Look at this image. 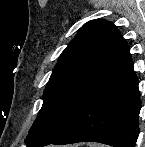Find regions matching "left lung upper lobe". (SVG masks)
I'll return each mask as SVG.
<instances>
[{"label":"left lung upper lobe","instance_id":"left-lung-upper-lobe-1","mask_svg":"<svg viewBox=\"0 0 145 147\" xmlns=\"http://www.w3.org/2000/svg\"><path fill=\"white\" fill-rule=\"evenodd\" d=\"M119 37L117 27L105 20H91L79 30L49 79L25 140L28 147H43L68 128Z\"/></svg>","mask_w":145,"mask_h":147}]
</instances>
